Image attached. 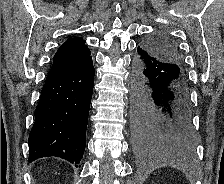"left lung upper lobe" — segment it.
<instances>
[{
  "mask_svg": "<svg viewBox=\"0 0 224 184\" xmlns=\"http://www.w3.org/2000/svg\"><path fill=\"white\" fill-rule=\"evenodd\" d=\"M142 47L154 58L182 68L181 55L176 44L170 38L156 36L145 41Z\"/></svg>",
  "mask_w": 224,
  "mask_h": 184,
  "instance_id": "1",
  "label": "left lung upper lobe"
}]
</instances>
